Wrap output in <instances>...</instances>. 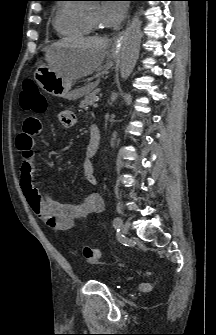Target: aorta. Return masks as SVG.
Instances as JSON below:
<instances>
[{
	"mask_svg": "<svg viewBox=\"0 0 216 335\" xmlns=\"http://www.w3.org/2000/svg\"><path fill=\"white\" fill-rule=\"evenodd\" d=\"M141 38V21L138 13H136L132 18L122 42L120 76L123 81L128 79L136 65Z\"/></svg>",
	"mask_w": 216,
	"mask_h": 335,
	"instance_id": "1",
	"label": "aorta"
}]
</instances>
